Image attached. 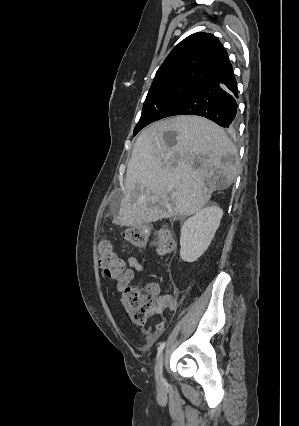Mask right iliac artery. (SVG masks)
<instances>
[{
  "label": "right iliac artery",
  "instance_id": "obj_1",
  "mask_svg": "<svg viewBox=\"0 0 299 426\" xmlns=\"http://www.w3.org/2000/svg\"><path fill=\"white\" fill-rule=\"evenodd\" d=\"M165 342H163V343H161L160 344V346L158 347V349H157V356H156V361H158V359H159V357H160V354H161V352H162V350L164 349V347H165ZM155 372H156V380L158 379V375H157V364H156V366H155Z\"/></svg>",
  "mask_w": 299,
  "mask_h": 426
}]
</instances>
